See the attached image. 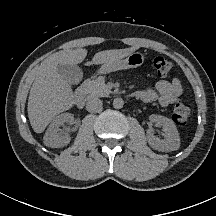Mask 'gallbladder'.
I'll return each instance as SVG.
<instances>
[{"label":"gallbladder","instance_id":"bac80fb5","mask_svg":"<svg viewBox=\"0 0 216 216\" xmlns=\"http://www.w3.org/2000/svg\"><path fill=\"white\" fill-rule=\"evenodd\" d=\"M57 71L69 84H78L83 78V72L77 65L58 64Z\"/></svg>","mask_w":216,"mask_h":216}]
</instances>
